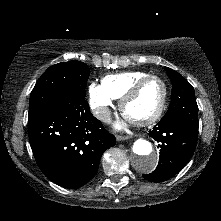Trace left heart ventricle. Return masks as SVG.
Wrapping results in <instances>:
<instances>
[{
  "instance_id": "obj_1",
  "label": "left heart ventricle",
  "mask_w": 221,
  "mask_h": 221,
  "mask_svg": "<svg viewBox=\"0 0 221 221\" xmlns=\"http://www.w3.org/2000/svg\"><path fill=\"white\" fill-rule=\"evenodd\" d=\"M162 98V85L158 80L148 81L139 93L127 104L126 114L133 119L151 116L158 108Z\"/></svg>"
}]
</instances>
